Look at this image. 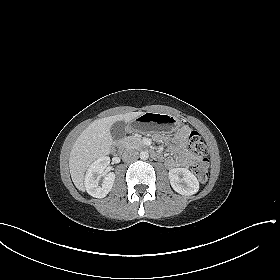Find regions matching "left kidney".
<instances>
[{
	"label": "left kidney",
	"mask_w": 280,
	"mask_h": 280,
	"mask_svg": "<svg viewBox=\"0 0 280 280\" xmlns=\"http://www.w3.org/2000/svg\"><path fill=\"white\" fill-rule=\"evenodd\" d=\"M169 180L172 188L181 195H193L199 190V181L186 168H174L169 171Z\"/></svg>",
	"instance_id": "5707ae66"
}]
</instances>
